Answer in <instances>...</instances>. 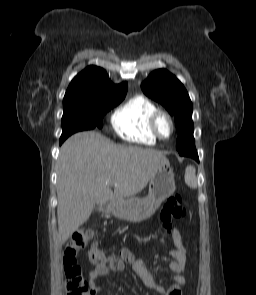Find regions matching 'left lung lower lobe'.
<instances>
[{
  "mask_svg": "<svg viewBox=\"0 0 256 295\" xmlns=\"http://www.w3.org/2000/svg\"><path fill=\"white\" fill-rule=\"evenodd\" d=\"M186 156L192 157L195 159L197 162H199L198 154L196 149H190L186 152Z\"/></svg>",
  "mask_w": 256,
  "mask_h": 295,
  "instance_id": "obj_1",
  "label": "left lung lower lobe"
}]
</instances>
